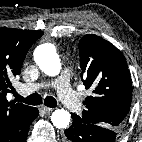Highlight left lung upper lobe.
Returning <instances> with one entry per match:
<instances>
[{"label":"left lung upper lobe","instance_id":"left-lung-upper-lobe-1","mask_svg":"<svg viewBox=\"0 0 142 142\" xmlns=\"http://www.w3.org/2000/svg\"><path fill=\"white\" fill-rule=\"evenodd\" d=\"M82 81L93 94L83 104L84 124L122 128L132 100V82L122 53L105 39L87 34L79 42Z\"/></svg>","mask_w":142,"mask_h":142}]
</instances>
